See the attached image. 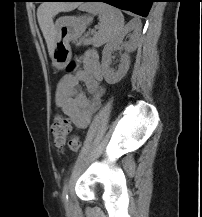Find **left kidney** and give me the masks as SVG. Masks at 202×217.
Returning a JSON list of instances; mask_svg holds the SVG:
<instances>
[{"label":"left kidney","mask_w":202,"mask_h":217,"mask_svg":"<svg viewBox=\"0 0 202 217\" xmlns=\"http://www.w3.org/2000/svg\"><path fill=\"white\" fill-rule=\"evenodd\" d=\"M132 30H135L136 32L140 30L133 21L130 22L114 39L107 43L102 51V69L104 72L105 81L108 84L118 83L125 76L129 69L130 56L128 53L136 49L137 43L134 39L135 36H132V39L123 45L127 53L121 56L118 70L111 68L110 64L112 53L119 48L124 36Z\"/></svg>","instance_id":"obj_1"}]
</instances>
